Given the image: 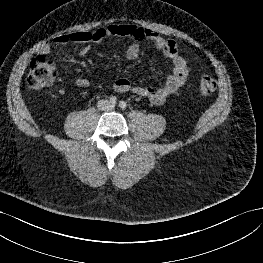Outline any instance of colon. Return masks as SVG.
Wrapping results in <instances>:
<instances>
[{"label":"colon","mask_w":263,"mask_h":263,"mask_svg":"<svg viewBox=\"0 0 263 263\" xmlns=\"http://www.w3.org/2000/svg\"><path fill=\"white\" fill-rule=\"evenodd\" d=\"M56 66L53 61L38 55L30 63L27 85L31 90L38 91L51 84L56 77ZM217 88L216 81L204 76L199 82V91L203 95L212 94Z\"/></svg>","instance_id":"1"}]
</instances>
